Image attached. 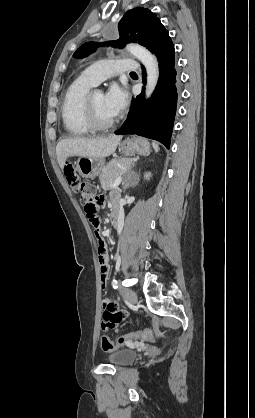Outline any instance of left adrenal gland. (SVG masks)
<instances>
[{
    "label": "left adrenal gland",
    "mask_w": 255,
    "mask_h": 418,
    "mask_svg": "<svg viewBox=\"0 0 255 418\" xmlns=\"http://www.w3.org/2000/svg\"><path fill=\"white\" fill-rule=\"evenodd\" d=\"M135 163H136V162H134V163L132 164V166L129 168L128 173H131V174H133V175H136V173L132 171V168L135 166ZM122 185H123L124 190H126V189H127V188H129V187H134L136 184H135V183L130 184V183L128 182V179H125V180L123 181Z\"/></svg>",
    "instance_id": "a2214340"
}]
</instances>
